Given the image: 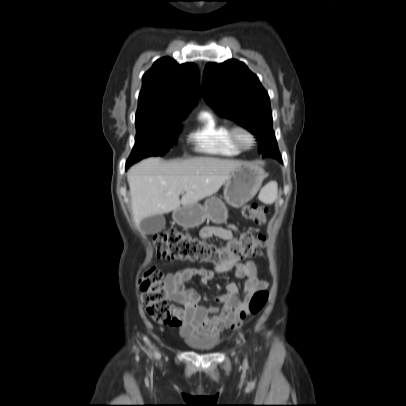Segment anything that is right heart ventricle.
<instances>
[{"label": "right heart ventricle", "instance_id": "1", "mask_svg": "<svg viewBox=\"0 0 406 406\" xmlns=\"http://www.w3.org/2000/svg\"><path fill=\"white\" fill-rule=\"evenodd\" d=\"M231 127L207 110L197 116V125L189 134V140L199 152L223 156H235L241 152L230 137Z\"/></svg>", "mask_w": 406, "mask_h": 406}]
</instances>
